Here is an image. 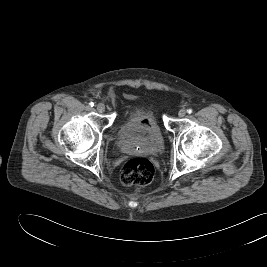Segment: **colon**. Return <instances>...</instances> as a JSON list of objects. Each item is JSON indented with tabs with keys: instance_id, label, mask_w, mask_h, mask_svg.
Instances as JSON below:
<instances>
[{
	"instance_id": "1",
	"label": "colon",
	"mask_w": 267,
	"mask_h": 267,
	"mask_svg": "<svg viewBox=\"0 0 267 267\" xmlns=\"http://www.w3.org/2000/svg\"><path fill=\"white\" fill-rule=\"evenodd\" d=\"M155 174L153 164L145 158H133L122 167L120 181L123 186H145L152 182Z\"/></svg>"
}]
</instances>
